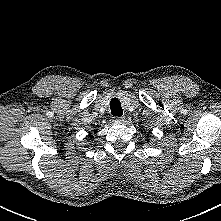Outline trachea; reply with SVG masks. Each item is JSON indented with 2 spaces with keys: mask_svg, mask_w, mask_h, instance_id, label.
<instances>
[{
  "mask_svg": "<svg viewBox=\"0 0 221 221\" xmlns=\"http://www.w3.org/2000/svg\"><path fill=\"white\" fill-rule=\"evenodd\" d=\"M110 109L113 116H122L123 110L121 107V103L117 98H113L110 101Z\"/></svg>",
  "mask_w": 221,
  "mask_h": 221,
  "instance_id": "1",
  "label": "trachea"
}]
</instances>
